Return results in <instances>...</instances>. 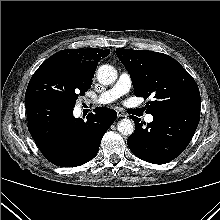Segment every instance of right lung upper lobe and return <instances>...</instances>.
<instances>
[{"mask_svg":"<svg viewBox=\"0 0 220 220\" xmlns=\"http://www.w3.org/2000/svg\"><path fill=\"white\" fill-rule=\"evenodd\" d=\"M109 53V49L98 48L62 50L46 61L67 62L78 67L84 73L94 76L98 61L105 58Z\"/></svg>","mask_w":220,"mask_h":220,"instance_id":"1","label":"right lung upper lobe"}]
</instances>
